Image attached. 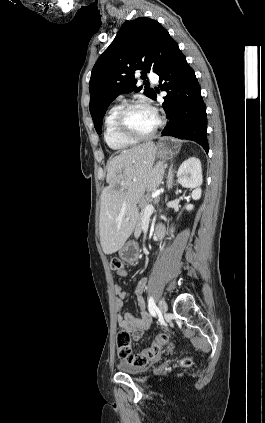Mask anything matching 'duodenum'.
<instances>
[{
    "mask_svg": "<svg viewBox=\"0 0 265 423\" xmlns=\"http://www.w3.org/2000/svg\"><path fill=\"white\" fill-rule=\"evenodd\" d=\"M157 240H162L166 236V229L164 227L155 230Z\"/></svg>",
    "mask_w": 265,
    "mask_h": 423,
    "instance_id": "obj_1",
    "label": "duodenum"
}]
</instances>
